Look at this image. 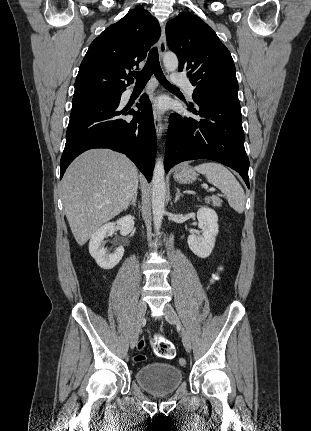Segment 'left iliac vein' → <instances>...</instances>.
Listing matches in <instances>:
<instances>
[{"label":"left iliac vein","instance_id":"1","mask_svg":"<svg viewBox=\"0 0 311 431\" xmlns=\"http://www.w3.org/2000/svg\"><path fill=\"white\" fill-rule=\"evenodd\" d=\"M164 317L168 323L172 325H180L177 313L170 304H166L164 307ZM181 337L184 348L187 352H190L192 348L191 340L188 333L183 328L181 329Z\"/></svg>","mask_w":311,"mask_h":431}]
</instances>
